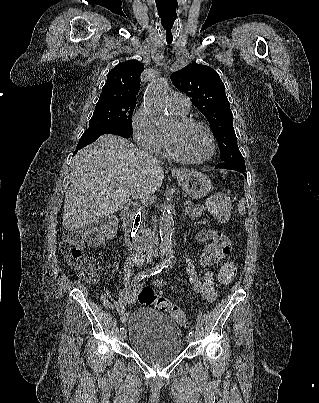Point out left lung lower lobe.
Masks as SVG:
<instances>
[{"instance_id":"0a47b994","label":"left lung lower lobe","mask_w":319,"mask_h":403,"mask_svg":"<svg viewBox=\"0 0 319 403\" xmlns=\"http://www.w3.org/2000/svg\"><path fill=\"white\" fill-rule=\"evenodd\" d=\"M215 168H224V169H229V170H235L240 173H243L246 176V167L245 164H235V163H230V162H222L219 163L215 166Z\"/></svg>"}]
</instances>
